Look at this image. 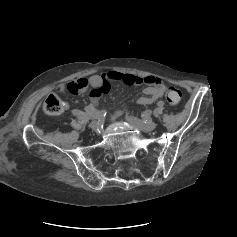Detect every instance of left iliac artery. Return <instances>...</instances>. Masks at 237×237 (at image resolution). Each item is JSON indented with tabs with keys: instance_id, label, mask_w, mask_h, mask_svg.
I'll return each instance as SVG.
<instances>
[{
	"instance_id": "obj_1",
	"label": "left iliac artery",
	"mask_w": 237,
	"mask_h": 237,
	"mask_svg": "<svg viewBox=\"0 0 237 237\" xmlns=\"http://www.w3.org/2000/svg\"><path fill=\"white\" fill-rule=\"evenodd\" d=\"M157 105H158L159 107H162V106H164V102H163V101H158V102H157Z\"/></svg>"
}]
</instances>
